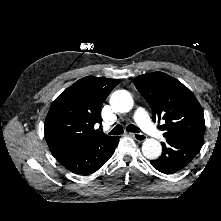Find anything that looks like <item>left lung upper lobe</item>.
Returning <instances> with one entry per match:
<instances>
[{"label": "left lung upper lobe", "mask_w": 221, "mask_h": 221, "mask_svg": "<svg viewBox=\"0 0 221 221\" xmlns=\"http://www.w3.org/2000/svg\"><path fill=\"white\" fill-rule=\"evenodd\" d=\"M134 84L151 107L153 121H165L160 127L166 140L204 137L202 108L181 82L158 71L136 77Z\"/></svg>", "instance_id": "left-lung-upper-lobe-1"}]
</instances>
